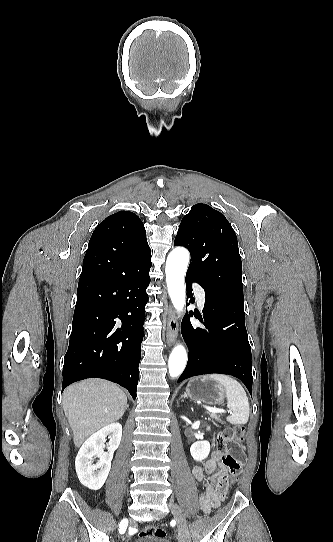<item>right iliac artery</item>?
Wrapping results in <instances>:
<instances>
[{
    "label": "right iliac artery",
    "instance_id": "right-iliac-artery-1",
    "mask_svg": "<svg viewBox=\"0 0 333 542\" xmlns=\"http://www.w3.org/2000/svg\"><path fill=\"white\" fill-rule=\"evenodd\" d=\"M128 521L126 519H123L119 525V532L123 534L126 531Z\"/></svg>",
    "mask_w": 333,
    "mask_h": 542
}]
</instances>
